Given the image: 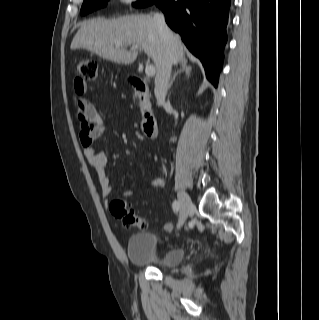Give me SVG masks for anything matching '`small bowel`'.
Masks as SVG:
<instances>
[{
	"label": "small bowel",
	"mask_w": 319,
	"mask_h": 320,
	"mask_svg": "<svg viewBox=\"0 0 319 320\" xmlns=\"http://www.w3.org/2000/svg\"><path fill=\"white\" fill-rule=\"evenodd\" d=\"M75 92L80 98L77 101V106L79 109L78 115H82L90 123L91 130L94 133L96 139L101 137L104 132V123L99 112L89 101L82 98L86 91L85 85H80L74 82ZM84 156L86 157L88 163L96 171V178L98 185L100 187L101 196L106 198L112 193V185L109 177L105 173V167L107 165V156L105 153L98 151L93 145H85ZM164 181L162 178L152 179L148 186L150 188H162ZM125 196H131L132 191H125Z\"/></svg>",
	"instance_id": "small-bowel-1"
}]
</instances>
